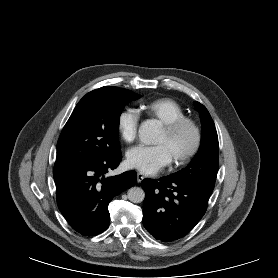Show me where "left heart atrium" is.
<instances>
[{
	"label": "left heart atrium",
	"mask_w": 278,
	"mask_h": 278,
	"mask_svg": "<svg viewBox=\"0 0 278 278\" xmlns=\"http://www.w3.org/2000/svg\"><path fill=\"white\" fill-rule=\"evenodd\" d=\"M171 159L163 145L137 146L129 150L127 163L147 175H154L169 165Z\"/></svg>",
	"instance_id": "obj_1"
}]
</instances>
